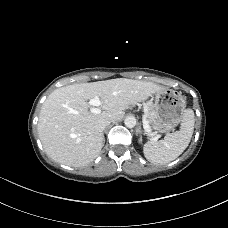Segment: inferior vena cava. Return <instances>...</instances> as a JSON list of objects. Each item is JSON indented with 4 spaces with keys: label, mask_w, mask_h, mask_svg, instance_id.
I'll use <instances>...</instances> for the list:
<instances>
[{
    "label": "inferior vena cava",
    "mask_w": 228,
    "mask_h": 228,
    "mask_svg": "<svg viewBox=\"0 0 228 228\" xmlns=\"http://www.w3.org/2000/svg\"><path fill=\"white\" fill-rule=\"evenodd\" d=\"M110 123V120L99 121L95 124V129L99 132H102Z\"/></svg>",
    "instance_id": "1"
}]
</instances>
